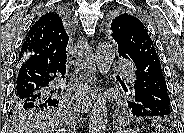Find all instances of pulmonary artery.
<instances>
[{
    "mask_svg": "<svg viewBox=\"0 0 184 133\" xmlns=\"http://www.w3.org/2000/svg\"><path fill=\"white\" fill-rule=\"evenodd\" d=\"M131 67H132V65L129 62L123 60V59H118L114 63V68L115 69H125V70H128L127 78H128V80L130 82H133L134 79H135V74L131 70Z\"/></svg>",
    "mask_w": 184,
    "mask_h": 133,
    "instance_id": "pulmonary-artery-1",
    "label": "pulmonary artery"
}]
</instances>
